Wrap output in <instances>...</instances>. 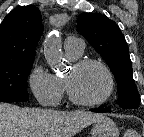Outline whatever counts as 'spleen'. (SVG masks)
<instances>
[{
	"label": "spleen",
	"instance_id": "3e777b00",
	"mask_svg": "<svg viewBox=\"0 0 144 137\" xmlns=\"http://www.w3.org/2000/svg\"><path fill=\"white\" fill-rule=\"evenodd\" d=\"M133 137H138V135H137V134H134Z\"/></svg>",
	"mask_w": 144,
	"mask_h": 137
}]
</instances>
